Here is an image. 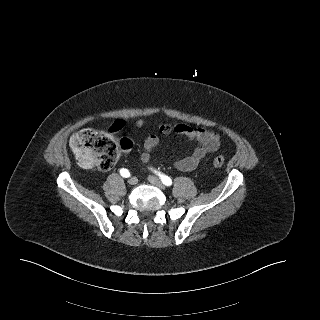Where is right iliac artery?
Listing matches in <instances>:
<instances>
[{"label": "right iliac artery", "instance_id": "obj_1", "mask_svg": "<svg viewBox=\"0 0 320 320\" xmlns=\"http://www.w3.org/2000/svg\"><path fill=\"white\" fill-rule=\"evenodd\" d=\"M120 174H121L123 177H125V178H128V177L131 176L130 172H129L127 169H124V168H122V169L120 170Z\"/></svg>", "mask_w": 320, "mask_h": 320}]
</instances>
